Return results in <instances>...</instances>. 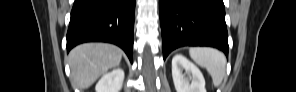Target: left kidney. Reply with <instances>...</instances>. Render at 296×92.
<instances>
[{
  "mask_svg": "<svg viewBox=\"0 0 296 92\" xmlns=\"http://www.w3.org/2000/svg\"><path fill=\"white\" fill-rule=\"evenodd\" d=\"M172 77L177 92H206L201 71L183 55L176 54L173 57Z\"/></svg>",
  "mask_w": 296,
  "mask_h": 92,
  "instance_id": "1",
  "label": "left kidney"
}]
</instances>
